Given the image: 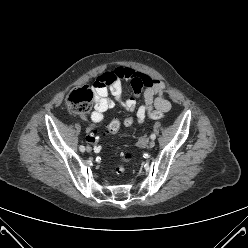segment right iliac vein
<instances>
[{
  "label": "right iliac vein",
  "mask_w": 248,
  "mask_h": 248,
  "mask_svg": "<svg viewBox=\"0 0 248 248\" xmlns=\"http://www.w3.org/2000/svg\"><path fill=\"white\" fill-rule=\"evenodd\" d=\"M86 151H87L88 153H90V152H91V148H90L89 146H87Z\"/></svg>",
  "instance_id": "obj_1"
}]
</instances>
